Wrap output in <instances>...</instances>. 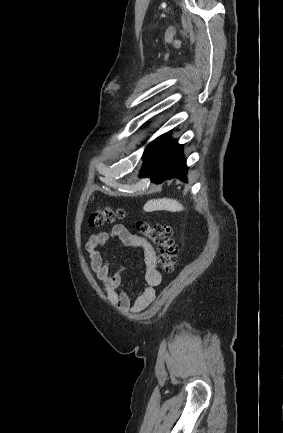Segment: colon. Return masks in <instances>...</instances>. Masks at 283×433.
I'll use <instances>...</instances> for the list:
<instances>
[{"label": "colon", "mask_w": 283, "mask_h": 433, "mask_svg": "<svg viewBox=\"0 0 283 433\" xmlns=\"http://www.w3.org/2000/svg\"><path fill=\"white\" fill-rule=\"evenodd\" d=\"M124 216L125 212L121 209L105 208L91 213L88 221L92 227L100 228ZM135 227L140 235L148 238L157 246L162 269L165 272H173L177 264L178 250L173 238L172 227L142 220L136 221Z\"/></svg>", "instance_id": "colon-1"}]
</instances>
